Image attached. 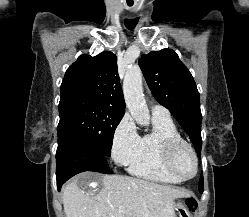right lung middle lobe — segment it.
I'll use <instances>...</instances> for the list:
<instances>
[{"instance_id": "obj_1", "label": "right lung middle lobe", "mask_w": 249, "mask_h": 217, "mask_svg": "<svg viewBox=\"0 0 249 217\" xmlns=\"http://www.w3.org/2000/svg\"><path fill=\"white\" fill-rule=\"evenodd\" d=\"M58 136L69 134L98 154L111 156L114 131L124 112L83 98H62L59 102Z\"/></svg>"}]
</instances>
